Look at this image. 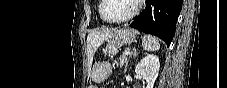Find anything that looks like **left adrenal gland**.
I'll use <instances>...</instances> for the list:
<instances>
[{
	"mask_svg": "<svg viewBox=\"0 0 227 88\" xmlns=\"http://www.w3.org/2000/svg\"><path fill=\"white\" fill-rule=\"evenodd\" d=\"M138 55V52H137V50L134 48L133 50H132V52H131V55H130V57H136ZM127 65H128V62L126 63V65H125V71H126V69H127Z\"/></svg>",
	"mask_w": 227,
	"mask_h": 88,
	"instance_id": "a2214340",
	"label": "left adrenal gland"
}]
</instances>
